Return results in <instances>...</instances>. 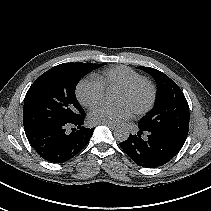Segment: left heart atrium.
Segmentation results:
<instances>
[{
  "label": "left heart atrium",
  "mask_w": 211,
  "mask_h": 211,
  "mask_svg": "<svg viewBox=\"0 0 211 211\" xmlns=\"http://www.w3.org/2000/svg\"><path fill=\"white\" fill-rule=\"evenodd\" d=\"M132 112L133 110L126 104L115 106L102 104L90 112L89 120L95 124H117L128 119L132 115Z\"/></svg>",
  "instance_id": "obj_1"
}]
</instances>
